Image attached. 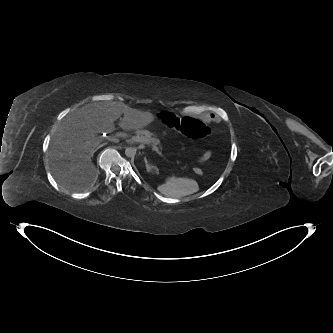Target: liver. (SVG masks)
Listing matches in <instances>:
<instances>
[{
	"mask_svg": "<svg viewBox=\"0 0 333 333\" xmlns=\"http://www.w3.org/2000/svg\"><path fill=\"white\" fill-rule=\"evenodd\" d=\"M119 127L137 130L154 121L151 112L128 107L121 102H100L83 106L63 119L50 142L48 160L58 184L70 190L88 189L98 173L92 156L98 148V133H111L122 115Z\"/></svg>",
	"mask_w": 333,
	"mask_h": 333,
	"instance_id": "liver-1",
	"label": "liver"
}]
</instances>
